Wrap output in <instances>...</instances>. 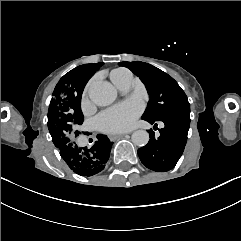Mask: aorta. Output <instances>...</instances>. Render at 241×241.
<instances>
[{
  "label": "aorta",
  "mask_w": 241,
  "mask_h": 241,
  "mask_svg": "<svg viewBox=\"0 0 241 241\" xmlns=\"http://www.w3.org/2000/svg\"><path fill=\"white\" fill-rule=\"evenodd\" d=\"M89 97L98 106H108L115 101L117 91L111 83L99 80L90 85ZM131 139L136 146L142 147L149 142V133L145 130H136Z\"/></svg>",
  "instance_id": "obj_1"
}]
</instances>
